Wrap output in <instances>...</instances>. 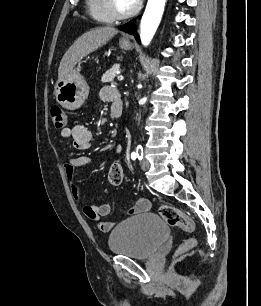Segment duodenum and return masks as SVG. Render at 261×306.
<instances>
[{
  "label": "duodenum",
  "mask_w": 261,
  "mask_h": 306,
  "mask_svg": "<svg viewBox=\"0 0 261 306\" xmlns=\"http://www.w3.org/2000/svg\"><path fill=\"white\" fill-rule=\"evenodd\" d=\"M121 111L122 108L120 104L116 103L112 106V114L114 117H119L121 115Z\"/></svg>",
  "instance_id": "410a0bca"
}]
</instances>
